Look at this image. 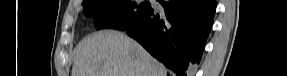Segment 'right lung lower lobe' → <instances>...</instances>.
Instances as JSON below:
<instances>
[{"instance_id": "98d812e1", "label": "right lung lower lobe", "mask_w": 287, "mask_h": 76, "mask_svg": "<svg viewBox=\"0 0 287 76\" xmlns=\"http://www.w3.org/2000/svg\"><path fill=\"white\" fill-rule=\"evenodd\" d=\"M153 9L124 31L177 76H192L212 27L216 0H157Z\"/></svg>"}]
</instances>
